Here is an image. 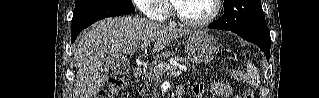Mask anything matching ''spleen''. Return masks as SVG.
<instances>
[{"label": "spleen", "mask_w": 319, "mask_h": 98, "mask_svg": "<svg viewBox=\"0 0 319 98\" xmlns=\"http://www.w3.org/2000/svg\"><path fill=\"white\" fill-rule=\"evenodd\" d=\"M246 75H247V78L249 80V83L253 87L258 88L260 85L259 73H258L256 66L254 64H252L251 62H249L247 64Z\"/></svg>", "instance_id": "spleen-1"}]
</instances>
